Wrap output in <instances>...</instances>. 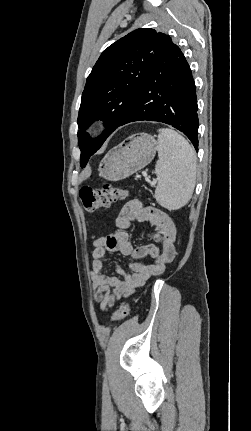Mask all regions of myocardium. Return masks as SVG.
Here are the masks:
<instances>
[{"label": "myocardium", "mask_w": 251, "mask_h": 431, "mask_svg": "<svg viewBox=\"0 0 251 431\" xmlns=\"http://www.w3.org/2000/svg\"><path fill=\"white\" fill-rule=\"evenodd\" d=\"M99 129H100V124L94 123L89 127L88 131L90 134H95L99 131Z\"/></svg>", "instance_id": "obj_1"}]
</instances>
